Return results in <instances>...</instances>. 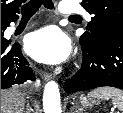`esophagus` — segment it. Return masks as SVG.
<instances>
[{
	"mask_svg": "<svg viewBox=\"0 0 123 113\" xmlns=\"http://www.w3.org/2000/svg\"><path fill=\"white\" fill-rule=\"evenodd\" d=\"M51 78H52V74H50V73H44V74H42V79L44 81H48Z\"/></svg>",
	"mask_w": 123,
	"mask_h": 113,
	"instance_id": "34e87169",
	"label": "esophagus"
}]
</instances>
